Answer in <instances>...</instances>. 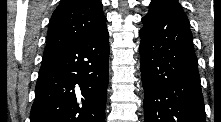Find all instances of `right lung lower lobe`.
<instances>
[{
    "mask_svg": "<svg viewBox=\"0 0 221 122\" xmlns=\"http://www.w3.org/2000/svg\"><path fill=\"white\" fill-rule=\"evenodd\" d=\"M109 33H96L45 55L30 122H105Z\"/></svg>",
    "mask_w": 221,
    "mask_h": 122,
    "instance_id": "obj_1",
    "label": "right lung lower lobe"
}]
</instances>
